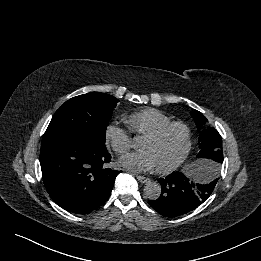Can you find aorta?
I'll use <instances>...</instances> for the list:
<instances>
[{
    "label": "aorta",
    "mask_w": 261,
    "mask_h": 261,
    "mask_svg": "<svg viewBox=\"0 0 261 261\" xmlns=\"http://www.w3.org/2000/svg\"><path fill=\"white\" fill-rule=\"evenodd\" d=\"M144 193L150 200H156L160 197L161 186L157 182H149L144 187Z\"/></svg>",
    "instance_id": "762f6f07"
}]
</instances>
